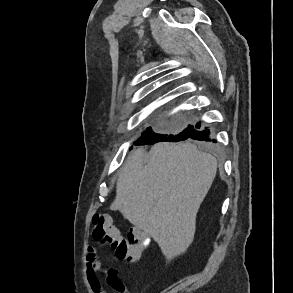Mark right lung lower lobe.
<instances>
[{"label": "right lung lower lobe", "instance_id": "right-lung-lower-lobe-1", "mask_svg": "<svg viewBox=\"0 0 293 293\" xmlns=\"http://www.w3.org/2000/svg\"><path fill=\"white\" fill-rule=\"evenodd\" d=\"M209 134H210L209 130L201 131L200 124H197L196 126L189 125L181 133L176 134V135L157 134V133H154L151 128H148L142 134V136L135 142V144L136 145L137 144L152 145V144L160 142V141L177 142V141L185 140L187 138H192V139H196L199 141H210ZM213 142H216V141L213 140Z\"/></svg>", "mask_w": 293, "mask_h": 293}]
</instances>
